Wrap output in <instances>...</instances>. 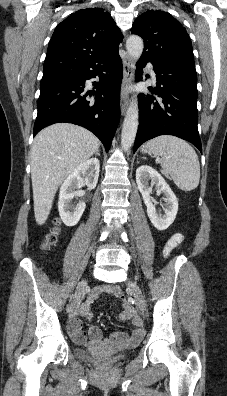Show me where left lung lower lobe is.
I'll return each instance as SVG.
<instances>
[{
	"label": "left lung lower lobe",
	"mask_w": 227,
	"mask_h": 396,
	"mask_svg": "<svg viewBox=\"0 0 227 396\" xmlns=\"http://www.w3.org/2000/svg\"><path fill=\"white\" fill-rule=\"evenodd\" d=\"M147 62L153 64L156 73L157 98L142 94L139 102V126L133 152L147 140L160 135H174L195 145L201 152V140L197 128V74L180 66H170L141 57L139 70ZM137 80L142 79L138 71ZM153 92V89L149 87Z\"/></svg>",
	"instance_id": "0a47b994"
}]
</instances>
